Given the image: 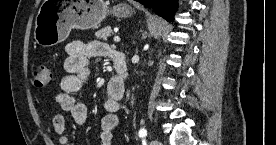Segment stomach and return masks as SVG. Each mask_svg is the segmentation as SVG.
Instances as JSON below:
<instances>
[{
  "label": "stomach",
  "instance_id": "obj_1",
  "mask_svg": "<svg viewBox=\"0 0 276 145\" xmlns=\"http://www.w3.org/2000/svg\"><path fill=\"white\" fill-rule=\"evenodd\" d=\"M112 13L129 17L132 8L120 4L108 9L103 0H44L35 20L34 39L43 47L64 41L72 29H93Z\"/></svg>",
  "mask_w": 276,
  "mask_h": 145
}]
</instances>
